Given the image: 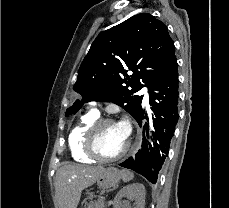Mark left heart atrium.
<instances>
[{
  "instance_id": "39dd6f15",
  "label": "left heart atrium",
  "mask_w": 229,
  "mask_h": 208,
  "mask_svg": "<svg viewBox=\"0 0 229 208\" xmlns=\"http://www.w3.org/2000/svg\"><path fill=\"white\" fill-rule=\"evenodd\" d=\"M120 131L123 133V135H125L126 137L129 134V124L126 121H122L120 123L117 124Z\"/></svg>"
}]
</instances>
